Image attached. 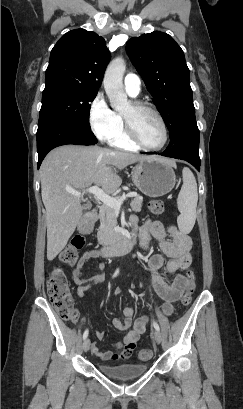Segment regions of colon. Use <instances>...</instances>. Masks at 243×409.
Here are the masks:
<instances>
[{
	"label": "colon",
	"mask_w": 243,
	"mask_h": 409,
	"mask_svg": "<svg viewBox=\"0 0 243 409\" xmlns=\"http://www.w3.org/2000/svg\"><path fill=\"white\" fill-rule=\"evenodd\" d=\"M149 209L154 214H161L164 210V204L161 200H151ZM85 238L76 235L71 239L70 244L60 253L59 259L66 265H73L78 256V252L85 246ZM186 291L181 298V304L188 306L192 302V293L195 288V275L193 271L187 272ZM47 291L52 305L56 309L59 317L65 321L75 322L78 319V312L75 309L69 285L63 270L54 266L48 270L47 274ZM152 353L148 349H142L138 353L141 360L147 361L151 358Z\"/></svg>",
	"instance_id": "1"
}]
</instances>
